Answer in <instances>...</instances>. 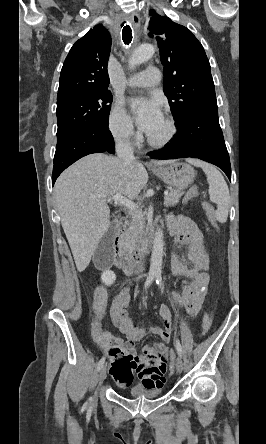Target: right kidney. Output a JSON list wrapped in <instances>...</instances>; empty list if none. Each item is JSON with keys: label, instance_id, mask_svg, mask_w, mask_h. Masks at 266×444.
Returning a JSON list of instances; mask_svg holds the SVG:
<instances>
[{"label": "right kidney", "instance_id": "ca27d5eb", "mask_svg": "<svg viewBox=\"0 0 266 444\" xmlns=\"http://www.w3.org/2000/svg\"><path fill=\"white\" fill-rule=\"evenodd\" d=\"M101 280L105 285L111 286L116 280V275L113 271L106 269L101 274Z\"/></svg>", "mask_w": 266, "mask_h": 444}]
</instances>
